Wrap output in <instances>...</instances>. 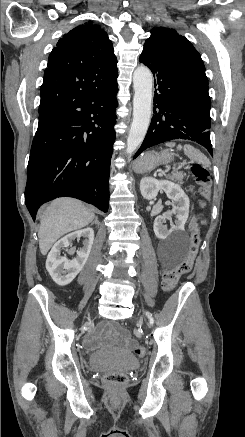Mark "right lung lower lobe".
I'll return each instance as SVG.
<instances>
[{
  "label": "right lung lower lobe",
  "mask_w": 245,
  "mask_h": 437,
  "mask_svg": "<svg viewBox=\"0 0 245 437\" xmlns=\"http://www.w3.org/2000/svg\"><path fill=\"white\" fill-rule=\"evenodd\" d=\"M117 86L115 80L103 90L39 113L25 189L33 220L43 203L64 196L108 211Z\"/></svg>",
  "instance_id": "1"
}]
</instances>
